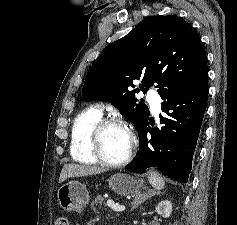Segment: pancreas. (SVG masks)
Here are the masks:
<instances>
[{
    "label": "pancreas",
    "instance_id": "pancreas-1",
    "mask_svg": "<svg viewBox=\"0 0 237 225\" xmlns=\"http://www.w3.org/2000/svg\"><path fill=\"white\" fill-rule=\"evenodd\" d=\"M104 201V197L101 195L96 196V198L91 203V208L96 210V207H101Z\"/></svg>",
    "mask_w": 237,
    "mask_h": 225
}]
</instances>
